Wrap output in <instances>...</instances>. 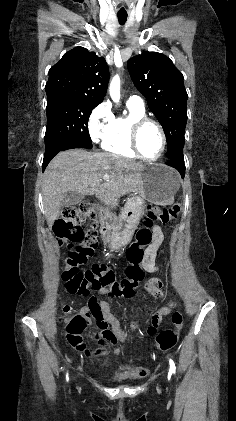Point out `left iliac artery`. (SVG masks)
I'll return each instance as SVG.
<instances>
[{
	"label": "left iliac artery",
	"instance_id": "1",
	"mask_svg": "<svg viewBox=\"0 0 236 421\" xmlns=\"http://www.w3.org/2000/svg\"><path fill=\"white\" fill-rule=\"evenodd\" d=\"M169 364H170V370H169V373H170V374L175 373L176 367H175V363L173 362V360H172V359H170V360H169Z\"/></svg>",
	"mask_w": 236,
	"mask_h": 421
}]
</instances>
